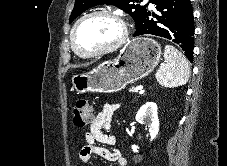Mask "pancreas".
<instances>
[{"mask_svg":"<svg viewBox=\"0 0 227 166\" xmlns=\"http://www.w3.org/2000/svg\"><path fill=\"white\" fill-rule=\"evenodd\" d=\"M129 92H136V91H135V87L130 88V89H129Z\"/></svg>","mask_w":227,"mask_h":166,"instance_id":"obj_1","label":"pancreas"}]
</instances>
